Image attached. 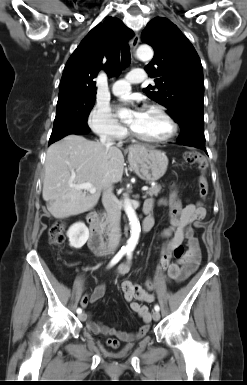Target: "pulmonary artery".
Masks as SVG:
<instances>
[{
    "label": "pulmonary artery",
    "instance_id": "obj_1",
    "mask_svg": "<svg viewBox=\"0 0 247 385\" xmlns=\"http://www.w3.org/2000/svg\"><path fill=\"white\" fill-rule=\"evenodd\" d=\"M144 81V71L135 69L130 71L125 79L117 80L112 85V92L117 96H124L130 92L131 84Z\"/></svg>",
    "mask_w": 247,
    "mask_h": 385
}]
</instances>
